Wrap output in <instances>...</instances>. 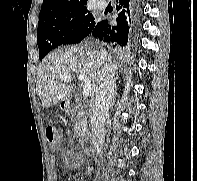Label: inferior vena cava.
Masks as SVG:
<instances>
[{"label": "inferior vena cava", "mask_w": 197, "mask_h": 181, "mask_svg": "<svg viewBox=\"0 0 197 181\" xmlns=\"http://www.w3.org/2000/svg\"><path fill=\"white\" fill-rule=\"evenodd\" d=\"M115 76L108 68L103 69L95 94L91 116V136L97 155L102 154L105 140V121L115 97Z\"/></svg>", "instance_id": "1"}]
</instances>
